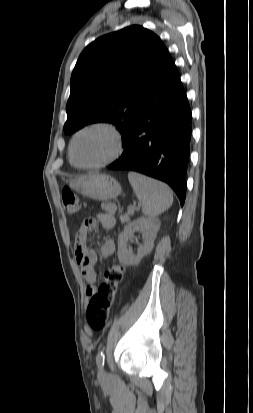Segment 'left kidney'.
Returning <instances> with one entry per match:
<instances>
[{
    "instance_id": "1",
    "label": "left kidney",
    "mask_w": 253,
    "mask_h": 413,
    "mask_svg": "<svg viewBox=\"0 0 253 413\" xmlns=\"http://www.w3.org/2000/svg\"><path fill=\"white\" fill-rule=\"evenodd\" d=\"M159 228V220L152 218H139L129 223L118 236L119 262L124 265H137L145 255L151 252ZM138 230L142 232L145 242L138 247L137 253L134 254L132 250L127 248V242L133 233Z\"/></svg>"
}]
</instances>
